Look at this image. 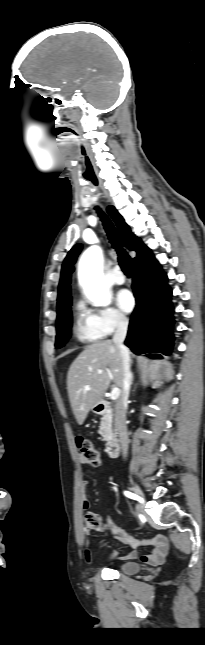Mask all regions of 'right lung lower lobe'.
<instances>
[{
  "label": "right lung lower lobe",
  "mask_w": 205,
  "mask_h": 645,
  "mask_svg": "<svg viewBox=\"0 0 205 645\" xmlns=\"http://www.w3.org/2000/svg\"><path fill=\"white\" fill-rule=\"evenodd\" d=\"M132 288L136 307L132 313L127 345L134 353H171L174 324L172 290L167 275L152 256L133 265ZM156 356V355H152Z\"/></svg>",
  "instance_id": "98d812e1"
}]
</instances>
